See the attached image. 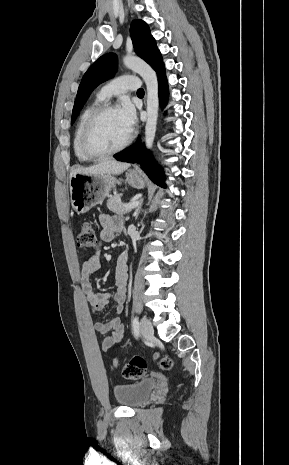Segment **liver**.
<instances>
[{
    "label": "liver",
    "instance_id": "obj_1",
    "mask_svg": "<svg viewBox=\"0 0 289 465\" xmlns=\"http://www.w3.org/2000/svg\"><path fill=\"white\" fill-rule=\"evenodd\" d=\"M130 167L129 163L118 162L115 160H107L95 164L90 167H78L73 169L70 173V177L76 174H87V175H119Z\"/></svg>",
    "mask_w": 289,
    "mask_h": 465
}]
</instances>
